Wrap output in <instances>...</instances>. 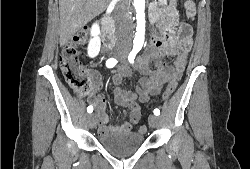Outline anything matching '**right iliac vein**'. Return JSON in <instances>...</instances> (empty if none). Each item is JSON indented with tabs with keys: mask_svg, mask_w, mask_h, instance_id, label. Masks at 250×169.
Segmentation results:
<instances>
[{
	"mask_svg": "<svg viewBox=\"0 0 250 169\" xmlns=\"http://www.w3.org/2000/svg\"><path fill=\"white\" fill-rule=\"evenodd\" d=\"M87 121H88L89 127L94 128L95 125H96V122H97L96 115L95 114H89L87 116Z\"/></svg>",
	"mask_w": 250,
	"mask_h": 169,
	"instance_id": "63e3f726",
	"label": "right iliac vein"
}]
</instances>
